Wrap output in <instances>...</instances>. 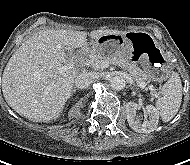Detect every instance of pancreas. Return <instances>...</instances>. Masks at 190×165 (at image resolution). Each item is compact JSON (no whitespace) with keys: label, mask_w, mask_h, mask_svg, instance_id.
<instances>
[{"label":"pancreas","mask_w":190,"mask_h":165,"mask_svg":"<svg viewBox=\"0 0 190 165\" xmlns=\"http://www.w3.org/2000/svg\"><path fill=\"white\" fill-rule=\"evenodd\" d=\"M90 59L93 61L90 65L95 70L101 68L102 62H109L114 65H119L122 69L128 71L139 86L148 82V77L139 67L125 62L124 59L118 57H105L96 51H91Z\"/></svg>","instance_id":"1"}]
</instances>
